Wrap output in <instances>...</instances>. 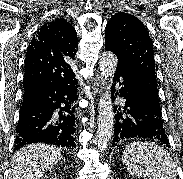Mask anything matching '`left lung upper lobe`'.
Returning a JSON list of instances; mask_svg holds the SVG:
<instances>
[{"label": "left lung upper lobe", "mask_w": 183, "mask_h": 179, "mask_svg": "<svg viewBox=\"0 0 183 179\" xmlns=\"http://www.w3.org/2000/svg\"><path fill=\"white\" fill-rule=\"evenodd\" d=\"M105 49L117 56V68L136 79L149 102L160 110L153 47L143 23L125 12L113 15L106 25Z\"/></svg>", "instance_id": "5c2ea615"}]
</instances>
